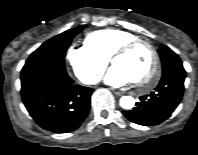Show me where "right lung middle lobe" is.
Wrapping results in <instances>:
<instances>
[{
    "instance_id": "obj_1",
    "label": "right lung middle lobe",
    "mask_w": 198,
    "mask_h": 155,
    "mask_svg": "<svg viewBox=\"0 0 198 155\" xmlns=\"http://www.w3.org/2000/svg\"><path fill=\"white\" fill-rule=\"evenodd\" d=\"M86 25L67 30L43 43L27 59L26 64L42 62L65 68L64 57L71 40L82 31Z\"/></svg>"
}]
</instances>
